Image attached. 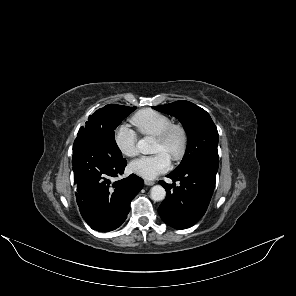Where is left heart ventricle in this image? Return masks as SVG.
<instances>
[{"label": "left heart ventricle", "mask_w": 296, "mask_h": 296, "mask_svg": "<svg viewBox=\"0 0 296 296\" xmlns=\"http://www.w3.org/2000/svg\"><path fill=\"white\" fill-rule=\"evenodd\" d=\"M178 144V138L175 136L173 137L171 143L169 146H164L162 145L160 142H158L157 140L155 141V145H154V152H159V151H163L166 154L169 155V157H171L173 151L176 149Z\"/></svg>", "instance_id": "obj_1"}]
</instances>
